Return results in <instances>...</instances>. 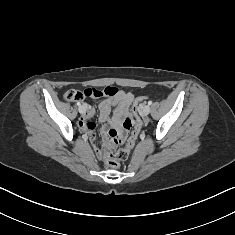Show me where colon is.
I'll use <instances>...</instances> for the list:
<instances>
[{"label":"colon","mask_w":235,"mask_h":235,"mask_svg":"<svg viewBox=\"0 0 235 235\" xmlns=\"http://www.w3.org/2000/svg\"><path fill=\"white\" fill-rule=\"evenodd\" d=\"M114 94L112 87H105L104 89L99 88H87L84 91L70 90L65 94L67 101H79L86 97H103ZM147 97L141 96L135 99L133 107V116L125 117L122 122L123 131L117 132L114 129H110L107 132L106 140L108 145L102 150L105 163L110 168H116L119 163L128 158L131 150L133 149L139 131H140V120L138 118V108L141 106ZM133 128L131 131L130 129ZM125 143L124 147L118 148L117 146Z\"/></svg>","instance_id":"obj_1"}]
</instances>
